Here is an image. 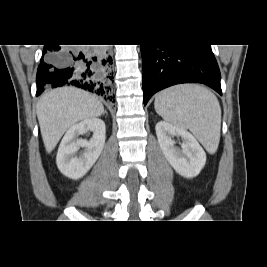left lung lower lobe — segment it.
Here are the masks:
<instances>
[{"instance_id": "obj_1", "label": "left lung lower lobe", "mask_w": 267, "mask_h": 267, "mask_svg": "<svg viewBox=\"0 0 267 267\" xmlns=\"http://www.w3.org/2000/svg\"><path fill=\"white\" fill-rule=\"evenodd\" d=\"M144 105L156 92L181 83H203L220 95V71L210 45H141Z\"/></svg>"}]
</instances>
